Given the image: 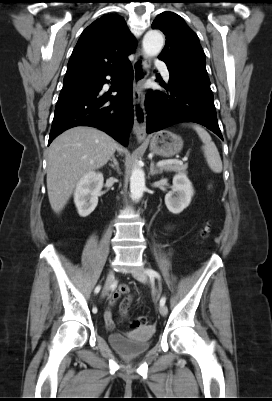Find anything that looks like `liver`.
Here are the masks:
<instances>
[{
    "mask_svg": "<svg viewBox=\"0 0 272 401\" xmlns=\"http://www.w3.org/2000/svg\"><path fill=\"white\" fill-rule=\"evenodd\" d=\"M116 150L123 151L112 137L96 128L78 126L59 135L50 145L47 160L52 210L61 212L79 180L104 166Z\"/></svg>",
    "mask_w": 272,
    "mask_h": 401,
    "instance_id": "6515ba94",
    "label": "liver"
}]
</instances>
